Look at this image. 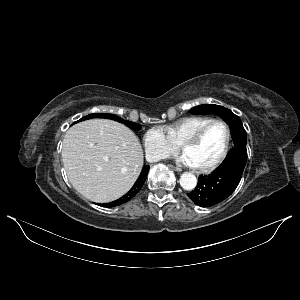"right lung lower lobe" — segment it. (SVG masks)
I'll list each match as a JSON object with an SVG mask.
<instances>
[{"mask_svg": "<svg viewBox=\"0 0 300 300\" xmlns=\"http://www.w3.org/2000/svg\"><path fill=\"white\" fill-rule=\"evenodd\" d=\"M149 170V166H145L142 169V172L139 176V178L137 179V181L135 182V184L133 185V187L130 189V191L128 193H126L123 197L117 199L116 201L110 202V203H106V204H100L101 206L104 207H115L118 205H121L127 201H129L131 198H133L142 188L143 183L146 180L147 177V173Z\"/></svg>", "mask_w": 300, "mask_h": 300, "instance_id": "right-lung-lower-lobe-1", "label": "right lung lower lobe"}]
</instances>
